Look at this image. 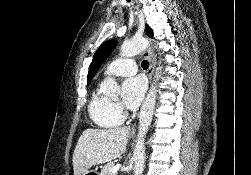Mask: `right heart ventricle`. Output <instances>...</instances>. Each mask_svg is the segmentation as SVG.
<instances>
[{
    "instance_id": "right-heart-ventricle-1",
    "label": "right heart ventricle",
    "mask_w": 251,
    "mask_h": 175,
    "mask_svg": "<svg viewBox=\"0 0 251 175\" xmlns=\"http://www.w3.org/2000/svg\"><path fill=\"white\" fill-rule=\"evenodd\" d=\"M87 108L90 119L99 127L114 128L120 124L112 103L100 93L99 88L92 90Z\"/></svg>"
}]
</instances>
